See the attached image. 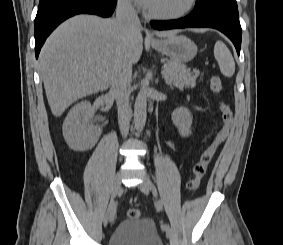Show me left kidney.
Listing matches in <instances>:
<instances>
[{
	"mask_svg": "<svg viewBox=\"0 0 283 245\" xmlns=\"http://www.w3.org/2000/svg\"><path fill=\"white\" fill-rule=\"evenodd\" d=\"M172 121L178 128L182 137H187L191 134L192 115L185 107H179L172 112Z\"/></svg>",
	"mask_w": 283,
	"mask_h": 245,
	"instance_id": "left-kidney-1",
	"label": "left kidney"
}]
</instances>
